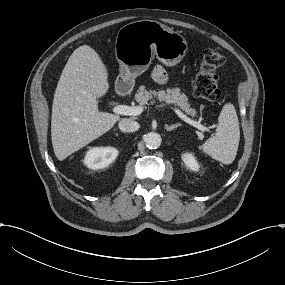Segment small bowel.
Here are the masks:
<instances>
[{
	"label": "small bowel",
	"instance_id": "1",
	"mask_svg": "<svg viewBox=\"0 0 285 285\" xmlns=\"http://www.w3.org/2000/svg\"><path fill=\"white\" fill-rule=\"evenodd\" d=\"M153 78L157 83L163 84L167 81V73L162 66H156L153 71Z\"/></svg>",
	"mask_w": 285,
	"mask_h": 285
}]
</instances>
